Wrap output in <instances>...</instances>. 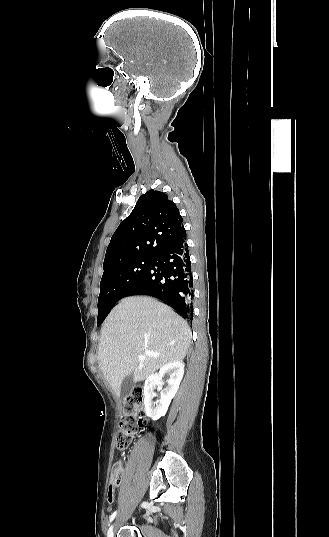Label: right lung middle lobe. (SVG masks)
Returning <instances> with one entry per match:
<instances>
[{"mask_svg":"<svg viewBox=\"0 0 329 537\" xmlns=\"http://www.w3.org/2000/svg\"><path fill=\"white\" fill-rule=\"evenodd\" d=\"M151 262L152 258H140L104 269L98 298V326L102 324L113 305L125 297L141 278Z\"/></svg>","mask_w":329,"mask_h":537,"instance_id":"obj_1","label":"right lung middle lobe"}]
</instances>
